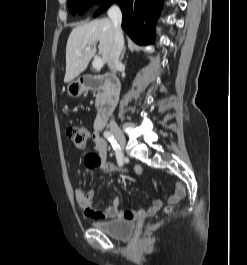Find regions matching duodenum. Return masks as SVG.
Wrapping results in <instances>:
<instances>
[{
    "instance_id": "410a0bca",
    "label": "duodenum",
    "mask_w": 247,
    "mask_h": 265,
    "mask_svg": "<svg viewBox=\"0 0 247 265\" xmlns=\"http://www.w3.org/2000/svg\"><path fill=\"white\" fill-rule=\"evenodd\" d=\"M80 84L85 89L104 87L106 91L105 100L94 121L95 129L100 130L115 107L120 92V82L112 74L105 73L101 75H84L81 78Z\"/></svg>"
}]
</instances>
